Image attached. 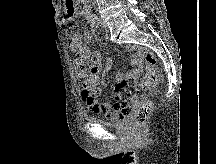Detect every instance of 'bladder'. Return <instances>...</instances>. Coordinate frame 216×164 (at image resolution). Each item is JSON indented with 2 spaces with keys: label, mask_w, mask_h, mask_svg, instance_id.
<instances>
[{
  "label": "bladder",
  "mask_w": 216,
  "mask_h": 164,
  "mask_svg": "<svg viewBox=\"0 0 216 164\" xmlns=\"http://www.w3.org/2000/svg\"><path fill=\"white\" fill-rule=\"evenodd\" d=\"M91 119L99 123L100 125L107 126V127H121L125 123L124 118L117 119L115 121H110L99 117H92Z\"/></svg>",
  "instance_id": "bladder-1"
}]
</instances>
